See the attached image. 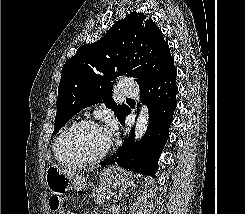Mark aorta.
<instances>
[{
    "mask_svg": "<svg viewBox=\"0 0 245 214\" xmlns=\"http://www.w3.org/2000/svg\"><path fill=\"white\" fill-rule=\"evenodd\" d=\"M148 127V109L145 105L141 107L140 114L135 125V140H139L146 132Z\"/></svg>",
    "mask_w": 245,
    "mask_h": 214,
    "instance_id": "aorta-1",
    "label": "aorta"
}]
</instances>
